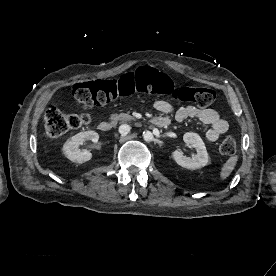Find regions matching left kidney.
Instances as JSON below:
<instances>
[{"mask_svg":"<svg viewBox=\"0 0 276 276\" xmlns=\"http://www.w3.org/2000/svg\"><path fill=\"white\" fill-rule=\"evenodd\" d=\"M183 140L185 143L195 148L197 153L193 157H187L183 152L175 150L172 152V157L175 162L184 168L193 170L206 166L209 162V156L201 137L197 133L187 132L184 134Z\"/></svg>","mask_w":276,"mask_h":276,"instance_id":"5707ae66","label":"left kidney"}]
</instances>
